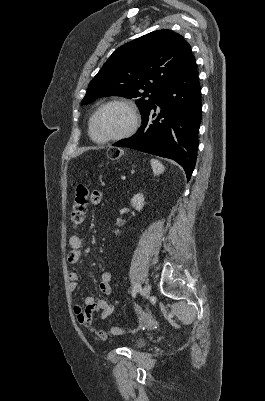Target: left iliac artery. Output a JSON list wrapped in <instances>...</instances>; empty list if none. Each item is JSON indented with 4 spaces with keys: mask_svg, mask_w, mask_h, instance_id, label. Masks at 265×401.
Wrapping results in <instances>:
<instances>
[{
    "mask_svg": "<svg viewBox=\"0 0 265 401\" xmlns=\"http://www.w3.org/2000/svg\"><path fill=\"white\" fill-rule=\"evenodd\" d=\"M141 287L139 285H135L132 291V296L135 297L136 293L138 290H140Z\"/></svg>",
    "mask_w": 265,
    "mask_h": 401,
    "instance_id": "1",
    "label": "left iliac artery"
}]
</instances>
